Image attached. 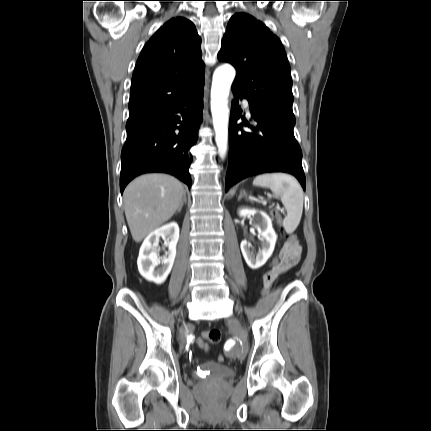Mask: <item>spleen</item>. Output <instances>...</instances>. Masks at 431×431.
I'll use <instances>...</instances> for the list:
<instances>
[{"instance_id":"1","label":"spleen","mask_w":431,"mask_h":431,"mask_svg":"<svg viewBox=\"0 0 431 431\" xmlns=\"http://www.w3.org/2000/svg\"><path fill=\"white\" fill-rule=\"evenodd\" d=\"M253 185L270 188L282 196V202L287 211L283 226L288 234L293 233L300 223L304 201L303 191L298 181L289 174L272 173L256 176Z\"/></svg>"}]
</instances>
